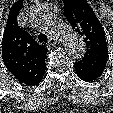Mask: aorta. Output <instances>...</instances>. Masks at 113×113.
Masks as SVG:
<instances>
[{
    "label": "aorta",
    "instance_id": "1",
    "mask_svg": "<svg viewBox=\"0 0 113 113\" xmlns=\"http://www.w3.org/2000/svg\"><path fill=\"white\" fill-rule=\"evenodd\" d=\"M42 20L48 31L62 40L67 52L74 59H81L85 55L86 47L83 39L69 24L60 21L52 14H45Z\"/></svg>",
    "mask_w": 113,
    "mask_h": 113
}]
</instances>
